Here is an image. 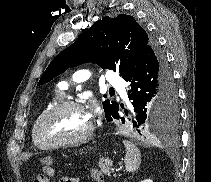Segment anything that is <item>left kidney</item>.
<instances>
[{
	"label": "left kidney",
	"instance_id": "obj_1",
	"mask_svg": "<svg viewBox=\"0 0 211 182\" xmlns=\"http://www.w3.org/2000/svg\"><path fill=\"white\" fill-rule=\"evenodd\" d=\"M141 182H153V181L151 179H145V180H143Z\"/></svg>",
	"mask_w": 211,
	"mask_h": 182
}]
</instances>
